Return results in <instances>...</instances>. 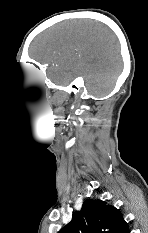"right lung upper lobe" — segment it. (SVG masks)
Instances as JSON below:
<instances>
[{
  "instance_id": "obj_1",
  "label": "right lung upper lobe",
  "mask_w": 148,
  "mask_h": 233,
  "mask_svg": "<svg viewBox=\"0 0 148 233\" xmlns=\"http://www.w3.org/2000/svg\"><path fill=\"white\" fill-rule=\"evenodd\" d=\"M58 233H129L119 209L102 200H86Z\"/></svg>"
}]
</instances>
